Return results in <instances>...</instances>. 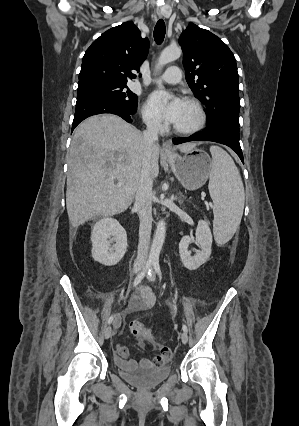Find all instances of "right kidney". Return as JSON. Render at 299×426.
Segmentation results:
<instances>
[{"label": "right kidney", "instance_id": "obj_1", "mask_svg": "<svg viewBox=\"0 0 299 426\" xmlns=\"http://www.w3.org/2000/svg\"><path fill=\"white\" fill-rule=\"evenodd\" d=\"M91 242L93 259L102 265L114 266L126 252L127 234L116 219L102 218L93 227Z\"/></svg>", "mask_w": 299, "mask_h": 426}]
</instances>
